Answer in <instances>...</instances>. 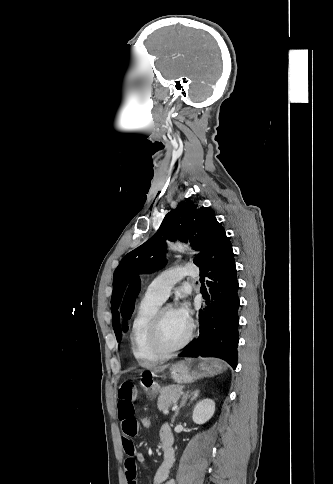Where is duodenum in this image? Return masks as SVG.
Wrapping results in <instances>:
<instances>
[{
    "label": "duodenum",
    "instance_id": "duodenum-1",
    "mask_svg": "<svg viewBox=\"0 0 333 484\" xmlns=\"http://www.w3.org/2000/svg\"><path fill=\"white\" fill-rule=\"evenodd\" d=\"M163 453L165 459H168L169 453H170V445L169 444H163Z\"/></svg>",
    "mask_w": 333,
    "mask_h": 484
}]
</instances>
